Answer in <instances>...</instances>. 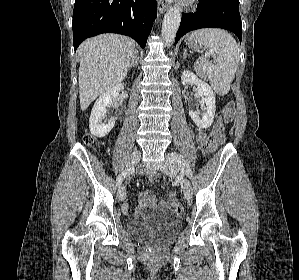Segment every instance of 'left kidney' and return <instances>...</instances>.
<instances>
[{"label": "left kidney", "mask_w": 299, "mask_h": 280, "mask_svg": "<svg viewBox=\"0 0 299 280\" xmlns=\"http://www.w3.org/2000/svg\"><path fill=\"white\" fill-rule=\"evenodd\" d=\"M181 81L183 85H197L198 94L202 97V102L206 105V110L203 113L202 118H200L196 112L190 110L189 115L191 119L201 129L210 127L213 123L216 111L215 95L211 87L206 82L199 79L194 73L188 70L183 71Z\"/></svg>", "instance_id": "1"}]
</instances>
